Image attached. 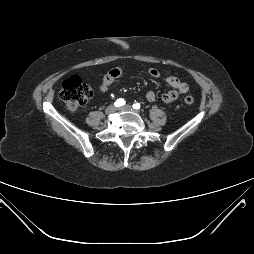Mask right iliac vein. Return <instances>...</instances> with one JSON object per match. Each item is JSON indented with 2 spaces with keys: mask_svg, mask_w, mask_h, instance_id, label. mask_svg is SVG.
I'll return each instance as SVG.
<instances>
[{
  "mask_svg": "<svg viewBox=\"0 0 254 254\" xmlns=\"http://www.w3.org/2000/svg\"><path fill=\"white\" fill-rule=\"evenodd\" d=\"M116 111H117L116 106L110 105V106H108V107L106 108L105 113L109 115V114H113V113L116 112Z\"/></svg>",
  "mask_w": 254,
  "mask_h": 254,
  "instance_id": "1",
  "label": "right iliac vein"
}]
</instances>
